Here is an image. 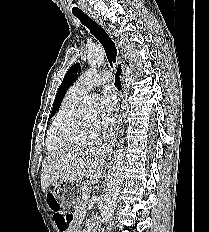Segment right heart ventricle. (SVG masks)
Listing matches in <instances>:
<instances>
[{"mask_svg":"<svg viewBox=\"0 0 209 232\" xmlns=\"http://www.w3.org/2000/svg\"><path fill=\"white\" fill-rule=\"evenodd\" d=\"M81 100L82 98L73 96L70 91L66 94L47 134L46 145L48 150H60L77 142V140H69L63 137L60 133V128L67 116L78 108Z\"/></svg>","mask_w":209,"mask_h":232,"instance_id":"right-heart-ventricle-1","label":"right heart ventricle"}]
</instances>
